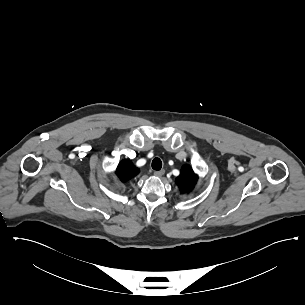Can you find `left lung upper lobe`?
Listing matches in <instances>:
<instances>
[{"label": "left lung upper lobe", "mask_w": 305, "mask_h": 305, "mask_svg": "<svg viewBox=\"0 0 305 305\" xmlns=\"http://www.w3.org/2000/svg\"><path fill=\"white\" fill-rule=\"evenodd\" d=\"M197 175L193 172L189 165L183 166L180 175L176 178V184L178 185L182 194L189 193L197 182Z\"/></svg>", "instance_id": "5c2ea615"}]
</instances>
